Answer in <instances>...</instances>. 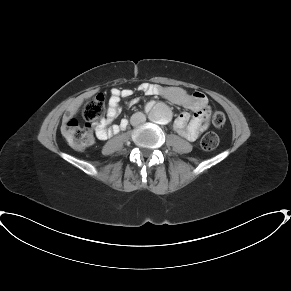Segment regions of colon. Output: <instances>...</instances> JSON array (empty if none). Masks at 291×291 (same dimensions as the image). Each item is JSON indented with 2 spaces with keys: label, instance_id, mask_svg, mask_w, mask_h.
Instances as JSON below:
<instances>
[{
  "label": "colon",
  "instance_id": "colon-1",
  "mask_svg": "<svg viewBox=\"0 0 291 291\" xmlns=\"http://www.w3.org/2000/svg\"><path fill=\"white\" fill-rule=\"evenodd\" d=\"M105 112V96L100 93L89 98L83 106V124L77 119H69L61 126V132L69 145L77 150L88 147L94 140L92 129L95 124L102 121ZM212 122L216 127H222L225 116L216 111L212 115ZM219 138L214 133H208L201 139V147L206 151L217 148Z\"/></svg>",
  "mask_w": 291,
  "mask_h": 291
}]
</instances>
